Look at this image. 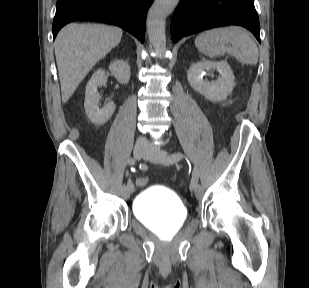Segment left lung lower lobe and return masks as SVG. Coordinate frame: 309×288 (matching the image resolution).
Here are the masks:
<instances>
[{"label": "left lung lower lobe", "mask_w": 309, "mask_h": 288, "mask_svg": "<svg viewBox=\"0 0 309 288\" xmlns=\"http://www.w3.org/2000/svg\"><path fill=\"white\" fill-rule=\"evenodd\" d=\"M225 25L249 29L260 42V26L253 0H181L171 27L176 42L202 30Z\"/></svg>", "instance_id": "1"}]
</instances>
